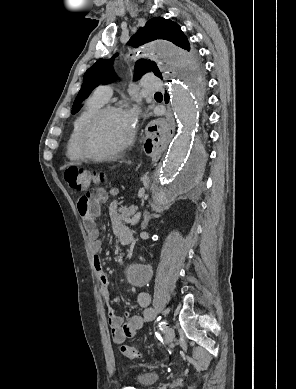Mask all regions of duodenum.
I'll return each instance as SVG.
<instances>
[{
	"mask_svg": "<svg viewBox=\"0 0 296 389\" xmlns=\"http://www.w3.org/2000/svg\"><path fill=\"white\" fill-rule=\"evenodd\" d=\"M121 242H122V244L127 245V244H129V243L131 242V240H130L129 238H123V239L121 240Z\"/></svg>",
	"mask_w": 296,
	"mask_h": 389,
	"instance_id": "410a0bca",
	"label": "duodenum"
}]
</instances>
